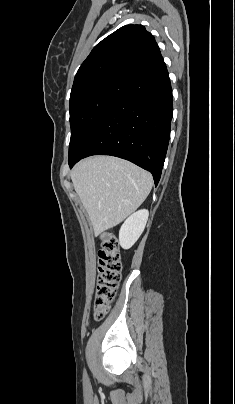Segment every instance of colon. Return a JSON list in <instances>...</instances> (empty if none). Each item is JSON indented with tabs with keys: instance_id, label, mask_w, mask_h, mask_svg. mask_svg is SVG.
<instances>
[{
	"instance_id": "colon-1",
	"label": "colon",
	"mask_w": 235,
	"mask_h": 404,
	"mask_svg": "<svg viewBox=\"0 0 235 404\" xmlns=\"http://www.w3.org/2000/svg\"><path fill=\"white\" fill-rule=\"evenodd\" d=\"M98 277L94 300V317L101 320L109 311L121 276V262L118 241L112 233L100 238L98 253Z\"/></svg>"
}]
</instances>
